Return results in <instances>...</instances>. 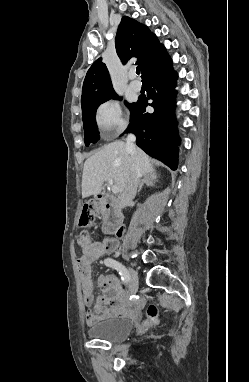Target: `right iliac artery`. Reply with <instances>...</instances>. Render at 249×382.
I'll use <instances>...</instances> for the list:
<instances>
[{"mask_svg":"<svg viewBox=\"0 0 249 382\" xmlns=\"http://www.w3.org/2000/svg\"><path fill=\"white\" fill-rule=\"evenodd\" d=\"M104 262H105L106 266L111 267L113 269H116L119 272L122 281L126 284L128 283L129 273L121 263L117 262L116 260H114L112 258H107V259H105Z\"/></svg>","mask_w":249,"mask_h":382,"instance_id":"obj_1","label":"right iliac artery"}]
</instances>
